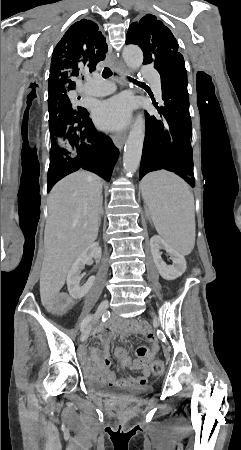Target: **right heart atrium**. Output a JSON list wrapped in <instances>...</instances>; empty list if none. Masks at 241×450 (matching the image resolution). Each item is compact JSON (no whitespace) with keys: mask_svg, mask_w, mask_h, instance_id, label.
<instances>
[{"mask_svg":"<svg viewBox=\"0 0 241 450\" xmlns=\"http://www.w3.org/2000/svg\"><path fill=\"white\" fill-rule=\"evenodd\" d=\"M101 152H102V153H105V152H106V149H105V148H102V149H101Z\"/></svg>","mask_w":241,"mask_h":450,"instance_id":"obj_1","label":"right heart atrium"}]
</instances>
